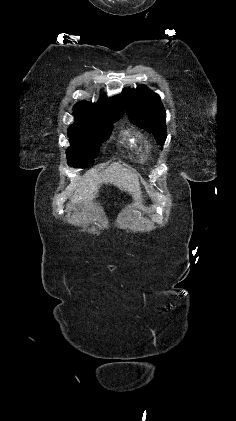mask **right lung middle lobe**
<instances>
[{"label":"right lung middle lobe","mask_w":236,"mask_h":421,"mask_svg":"<svg viewBox=\"0 0 236 421\" xmlns=\"http://www.w3.org/2000/svg\"><path fill=\"white\" fill-rule=\"evenodd\" d=\"M123 110L74 109L75 124L68 129L71 147L67 149L68 164L86 168L94 163L101 142L106 141Z\"/></svg>","instance_id":"1"}]
</instances>
